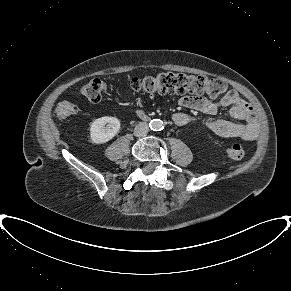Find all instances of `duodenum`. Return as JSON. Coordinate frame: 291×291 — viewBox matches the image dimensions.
I'll return each mask as SVG.
<instances>
[{
	"label": "duodenum",
	"mask_w": 291,
	"mask_h": 291,
	"mask_svg": "<svg viewBox=\"0 0 291 291\" xmlns=\"http://www.w3.org/2000/svg\"><path fill=\"white\" fill-rule=\"evenodd\" d=\"M138 115L143 119L147 118V115L142 111L138 112Z\"/></svg>",
	"instance_id": "410a0bca"
}]
</instances>
